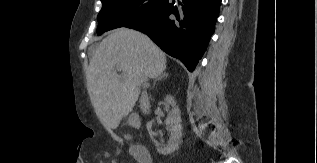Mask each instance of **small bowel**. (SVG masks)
I'll list each match as a JSON object with an SVG mask.
<instances>
[{"instance_id": "c3829d8e", "label": "small bowel", "mask_w": 317, "mask_h": 163, "mask_svg": "<svg viewBox=\"0 0 317 163\" xmlns=\"http://www.w3.org/2000/svg\"><path fill=\"white\" fill-rule=\"evenodd\" d=\"M131 152H132V155L136 158V160L139 163H152L151 156L149 153H147V155L145 156H140L136 153V150L134 147L131 149Z\"/></svg>"}]
</instances>
